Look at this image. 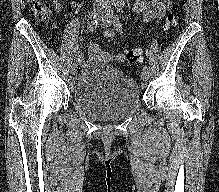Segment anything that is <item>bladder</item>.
I'll return each mask as SVG.
<instances>
[{
  "instance_id": "1",
  "label": "bladder",
  "mask_w": 219,
  "mask_h": 192,
  "mask_svg": "<svg viewBox=\"0 0 219 192\" xmlns=\"http://www.w3.org/2000/svg\"><path fill=\"white\" fill-rule=\"evenodd\" d=\"M86 116L118 121L140 106V85L120 69L106 63H89L80 72L71 96Z\"/></svg>"
}]
</instances>
